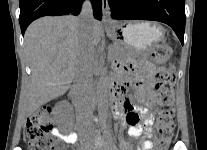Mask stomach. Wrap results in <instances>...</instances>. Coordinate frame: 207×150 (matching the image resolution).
Segmentation results:
<instances>
[{
    "label": "stomach",
    "mask_w": 207,
    "mask_h": 150,
    "mask_svg": "<svg viewBox=\"0 0 207 150\" xmlns=\"http://www.w3.org/2000/svg\"><path fill=\"white\" fill-rule=\"evenodd\" d=\"M108 36L114 41V47H120L118 58L128 60L150 50L152 45L164 37V28L156 22L116 23L107 28Z\"/></svg>",
    "instance_id": "1"
}]
</instances>
